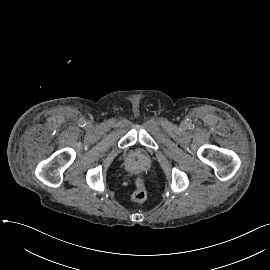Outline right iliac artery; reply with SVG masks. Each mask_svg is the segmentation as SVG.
Segmentation results:
<instances>
[{"label":"right iliac artery","instance_id":"1","mask_svg":"<svg viewBox=\"0 0 270 270\" xmlns=\"http://www.w3.org/2000/svg\"><path fill=\"white\" fill-rule=\"evenodd\" d=\"M80 124H81L82 126H85V121L81 120Z\"/></svg>","mask_w":270,"mask_h":270}]
</instances>
